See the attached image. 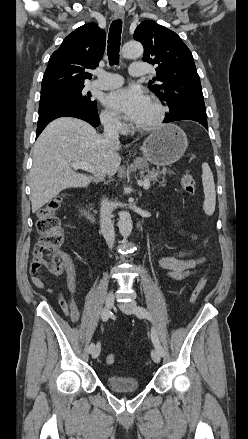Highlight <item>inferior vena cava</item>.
I'll list each match as a JSON object with an SVG mask.
<instances>
[{
	"mask_svg": "<svg viewBox=\"0 0 248 439\" xmlns=\"http://www.w3.org/2000/svg\"><path fill=\"white\" fill-rule=\"evenodd\" d=\"M104 138L107 141L119 142V121L115 117H106L103 120ZM112 206L107 198H103L100 207V227L102 235L110 248L115 241L114 226L111 220Z\"/></svg>",
	"mask_w": 248,
	"mask_h": 439,
	"instance_id": "obj_1",
	"label": "inferior vena cava"
}]
</instances>
